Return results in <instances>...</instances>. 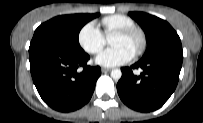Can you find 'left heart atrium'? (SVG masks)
<instances>
[{
    "instance_id": "left-heart-atrium-1",
    "label": "left heart atrium",
    "mask_w": 203,
    "mask_h": 123,
    "mask_svg": "<svg viewBox=\"0 0 203 123\" xmlns=\"http://www.w3.org/2000/svg\"><path fill=\"white\" fill-rule=\"evenodd\" d=\"M133 57V54L121 46H112L105 49L96 57V63L113 67L125 64L129 62Z\"/></svg>"
}]
</instances>
